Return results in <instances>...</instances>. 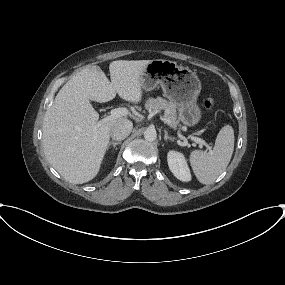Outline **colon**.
Returning a JSON list of instances; mask_svg holds the SVG:
<instances>
[{
  "label": "colon",
  "instance_id": "colon-1",
  "mask_svg": "<svg viewBox=\"0 0 285 285\" xmlns=\"http://www.w3.org/2000/svg\"><path fill=\"white\" fill-rule=\"evenodd\" d=\"M205 108L209 111V112H213L216 108V102L214 99L210 98L205 102Z\"/></svg>",
  "mask_w": 285,
  "mask_h": 285
}]
</instances>
